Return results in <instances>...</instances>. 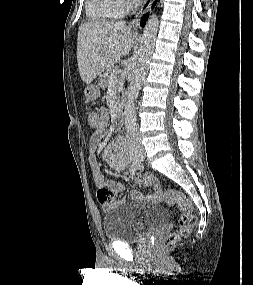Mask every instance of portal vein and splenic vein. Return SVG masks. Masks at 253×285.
<instances>
[{
	"mask_svg": "<svg viewBox=\"0 0 253 285\" xmlns=\"http://www.w3.org/2000/svg\"><path fill=\"white\" fill-rule=\"evenodd\" d=\"M117 83H118V79H117L116 76L113 77V78H111V79L109 80V85H110V86H114V85H116Z\"/></svg>",
	"mask_w": 253,
	"mask_h": 285,
	"instance_id": "1",
	"label": "portal vein and splenic vein"
}]
</instances>
